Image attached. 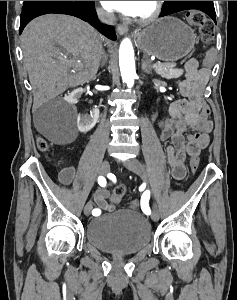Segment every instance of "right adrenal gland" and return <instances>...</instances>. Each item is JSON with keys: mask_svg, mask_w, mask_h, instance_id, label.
<instances>
[{"mask_svg": "<svg viewBox=\"0 0 237 300\" xmlns=\"http://www.w3.org/2000/svg\"><path fill=\"white\" fill-rule=\"evenodd\" d=\"M102 55H103L104 59H102V63L100 65V67H104L105 63H107V61H108L106 55H104V53H102Z\"/></svg>", "mask_w": 237, "mask_h": 300, "instance_id": "obj_1", "label": "right adrenal gland"}]
</instances>
